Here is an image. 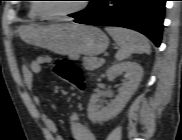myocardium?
I'll return each mask as SVG.
<instances>
[{"label":"myocardium","mask_w":182,"mask_h":140,"mask_svg":"<svg viewBox=\"0 0 182 140\" xmlns=\"http://www.w3.org/2000/svg\"><path fill=\"white\" fill-rule=\"evenodd\" d=\"M86 3L83 2L81 3L78 7L70 10V11H66V12H61V13H54V14H46V13H43L40 8H39V5L38 4H35L33 6V10L34 12L40 17V18H43V19H49V20H54V19H61V18H65V17H68V16H71V15H74V14H77L81 11H83L85 8H86Z\"/></svg>","instance_id":"f54148a6"}]
</instances>
